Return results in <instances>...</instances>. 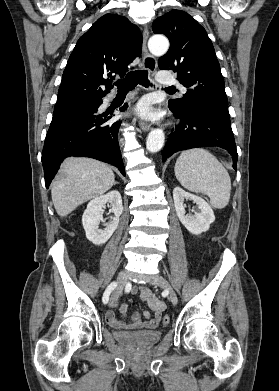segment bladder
I'll list each match as a JSON object with an SVG mask.
<instances>
[{
  "mask_svg": "<svg viewBox=\"0 0 279 391\" xmlns=\"http://www.w3.org/2000/svg\"><path fill=\"white\" fill-rule=\"evenodd\" d=\"M113 335L117 341L126 346L132 348H144L156 343L161 337V331H114Z\"/></svg>",
  "mask_w": 279,
  "mask_h": 391,
  "instance_id": "bladder-1",
  "label": "bladder"
}]
</instances>
